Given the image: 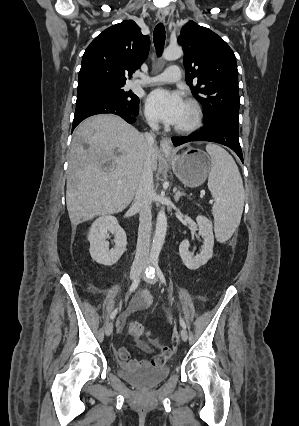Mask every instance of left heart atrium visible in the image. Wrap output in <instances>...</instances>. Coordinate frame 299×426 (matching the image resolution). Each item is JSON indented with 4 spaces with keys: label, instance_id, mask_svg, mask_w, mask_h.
<instances>
[{
    "label": "left heart atrium",
    "instance_id": "1",
    "mask_svg": "<svg viewBox=\"0 0 299 426\" xmlns=\"http://www.w3.org/2000/svg\"><path fill=\"white\" fill-rule=\"evenodd\" d=\"M186 103L175 92L164 89L152 91L146 101L148 114L157 120L178 125L182 119Z\"/></svg>",
    "mask_w": 299,
    "mask_h": 426
}]
</instances>
